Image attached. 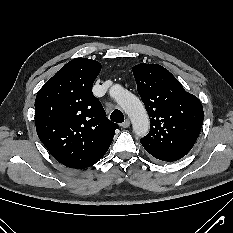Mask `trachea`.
<instances>
[{
    "label": "trachea",
    "instance_id": "trachea-1",
    "mask_svg": "<svg viewBox=\"0 0 233 233\" xmlns=\"http://www.w3.org/2000/svg\"><path fill=\"white\" fill-rule=\"evenodd\" d=\"M110 119L113 122L122 123V122H124V115L120 110H114L111 113Z\"/></svg>",
    "mask_w": 233,
    "mask_h": 233
}]
</instances>
